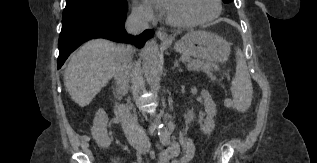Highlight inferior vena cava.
I'll return each instance as SVG.
<instances>
[{"instance_id": "602c4592", "label": "inferior vena cava", "mask_w": 317, "mask_h": 163, "mask_svg": "<svg viewBox=\"0 0 317 163\" xmlns=\"http://www.w3.org/2000/svg\"><path fill=\"white\" fill-rule=\"evenodd\" d=\"M150 15L143 10H133L127 18L125 27L129 34L138 35L149 27ZM131 46H121L115 67V80L117 83L116 96L121 99L128 91L129 72L131 65ZM115 113L119 117L124 134L136 150L141 153H147L150 149V141L145 131L138 125L137 119L130 113L125 105L117 106Z\"/></svg>"}]
</instances>
